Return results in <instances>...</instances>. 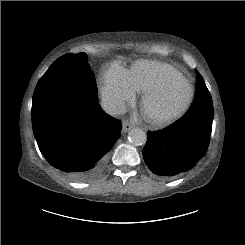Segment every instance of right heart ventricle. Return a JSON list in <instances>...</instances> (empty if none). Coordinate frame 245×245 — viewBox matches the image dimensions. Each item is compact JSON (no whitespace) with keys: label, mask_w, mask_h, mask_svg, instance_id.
<instances>
[{"label":"right heart ventricle","mask_w":245,"mask_h":245,"mask_svg":"<svg viewBox=\"0 0 245 245\" xmlns=\"http://www.w3.org/2000/svg\"><path fill=\"white\" fill-rule=\"evenodd\" d=\"M178 71L171 65L155 61L135 62L127 70L129 81L137 92H144L148 88L158 85Z\"/></svg>","instance_id":"obj_1"}]
</instances>
